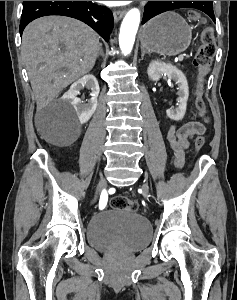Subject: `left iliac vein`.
Returning <instances> with one entry per match:
<instances>
[{"label": "left iliac vein", "mask_w": 237, "mask_h": 300, "mask_svg": "<svg viewBox=\"0 0 237 300\" xmlns=\"http://www.w3.org/2000/svg\"><path fill=\"white\" fill-rule=\"evenodd\" d=\"M143 189L146 190V191L148 190V185H147V183H145V184L143 185Z\"/></svg>", "instance_id": "left-iliac-vein-1"}]
</instances>
